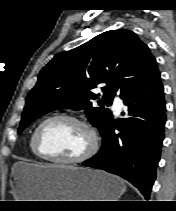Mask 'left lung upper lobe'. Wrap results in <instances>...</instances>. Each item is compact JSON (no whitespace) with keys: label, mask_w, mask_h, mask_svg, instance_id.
I'll list each match as a JSON object with an SVG mask.
<instances>
[{"label":"left lung upper lobe","mask_w":176,"mask_h":211,"mask_svg":"<svg viewBox=\"0 0 176 211\" xmlns=\"http://www.w3.org/2000/svg\"><path fill=\"white\" fill-rule=\"evenodd\" d=\"M160 76L157 62L148 46L129 30L104 32L68 52H60L41 70L30 91L18 133L31 122L53 110L69 107L85 110L101 135L113 117L104 105H111L116 92L123 99L146 87ZM98 84L104 96L93 107Z\"/></svg>","instance_id":"1"}]
</instances>
